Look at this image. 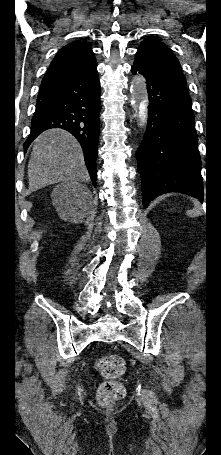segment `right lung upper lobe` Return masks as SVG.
I'll list each match as a JSON object with an SVG mask.
<instances>
[{
  "mask_svg": "<svg viewBox=\"0 0 221 455\" xmlns=\"http://www.w3.org/2000/svg\"><path fill=\"white\" fill-rule=\"evenodd\" d=\"M91 50L90 45L85 41H75L65 47H63L59 53L55 56L50 64V67L55 65L57 62L62 61L78 52H84Z\"/></svg>",
  "mask_w": 221,
  "mask_h": 455,
  "instance_id": "obj_1",
  "label": "right lung upper lobe"
}]
</instances>
